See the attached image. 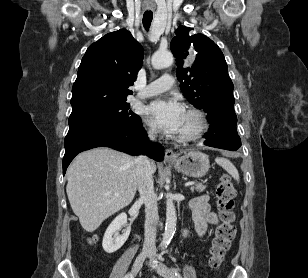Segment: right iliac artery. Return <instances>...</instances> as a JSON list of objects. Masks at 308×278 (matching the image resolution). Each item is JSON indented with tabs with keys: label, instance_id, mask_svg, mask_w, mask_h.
Returning a JSON list of instances; mask_svg holds the SVG:
<instances>
[{
	"label": "right iliac artery",
	"instance_id": "82829eb1",
	"mask_svg": "<svg viewBox=\"0 0 308 278\" xmlns=\"http://www.w3.org/2000/svg\"><path fill=\"white\" fill-rule=\"evenodd\" d=\"M124 278H132L131 274H127Z\"/></svg>",
	"mask_w": 308,
	"mask_h": 278
}]
</instances>
